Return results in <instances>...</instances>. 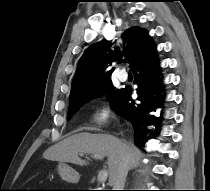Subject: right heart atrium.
I'll return each mask as SVG.
<instances>
[{
  "label": "right heart atrium",
  "instance_id": "1",
  "mask_svg": "<svg viewBox=\"0 0 210 191\" xmlns=\"http://www.w3.org/2000/svg\"><path fill=\"white\" fill-rule=\"evenodd\" d=\"M110 115V108L106 105L99 107L93 115L94 121L98 123L105 122Z\"/></svg>",
  "mask_w": 210,
  "mask_h": 191
}]
</instances>
